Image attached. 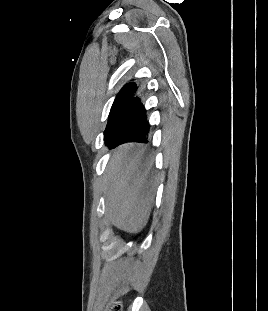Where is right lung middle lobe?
<instances>
[{
	"mask_svg": "<svg viewBox=\"0 0 268 311\" xmlns=\"http://www.w3.org/2000/svg\"><path fill=\"white\" fill-rule=\"evenodd\" d=\"M135 88H123L115 98L111 107L104 136L113 128L135 93Z\"/></svg>",
	"mask_w": 268,
	"mask_h": 311,
	"instance_id": "1",
	"label": "right lung middle lobe"
}]
</instances>
